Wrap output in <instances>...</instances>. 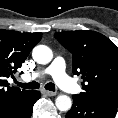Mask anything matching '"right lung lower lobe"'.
I'll return each instance as SVG.
<instances>
[{"instance_id":"obj_1","label":"right lung lower lobe","mask_w":118,"mask_h":118,"mask_svg":"<svg viewBox=\"0 0 118 118\" xmlns=\"http://www.w3.org/2000/svg\"><path fill=\"white\" fill-rule=\"evenodd\" d=\"M40 96H41L40 92L35 91V94L31 99V101L25 107H23L21 110H19L9 118H30V116L32 115L33 106L35 102L40 98Z\"/></svg>"}]
</instances>
